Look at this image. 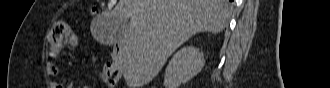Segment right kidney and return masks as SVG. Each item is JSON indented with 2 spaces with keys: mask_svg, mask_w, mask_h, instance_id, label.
<instances>
[{
  "mask_svg": "<svg viewBox=\"0 0 330 88\" xmlns=\"http://www.w3.org/2000/svg\"><path fill=\"white\" fill-rule=\"evenodd\" d=\"M204 63L203 53L199 49L187 46L178 50L166 68L165 88H178L186 83L202 70Z\"/></svg>",
  "mask_w": 330,
  "mask_h": 88,
  "instance_id": "ca27d5eb",
  "label": "right kidney"
}]
</instances>
